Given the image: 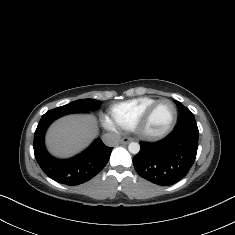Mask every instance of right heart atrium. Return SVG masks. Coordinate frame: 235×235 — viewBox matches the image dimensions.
Here are the masks:
<instances>
[{"instance_id":"d8ad5b80","label":"right heart atrium","mask_w":235,"mask_h":235,"mask_svg":"<svg viewBox=\"0 0 235 235\" xmlns=\"http://www.w3.org/2000/svg\"><path fill=\"white\" fill-rule=\"evenodd\" d=\"M101 119L108 125L110 129H117V124L114 121L108 120L104 115H101Z\"/></svg>"}]
</instances>
